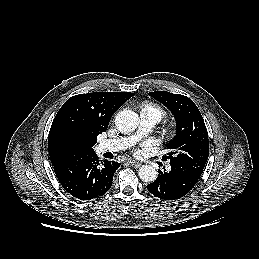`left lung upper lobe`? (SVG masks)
Instances as JSON below:
<instances>
[{
    "instance_id": "5c2ea615",
    "label": "left lung upper lobe",
    "mask_w": 259,
    "mask_h": 259,
    "mask_svg": "<svg viewBox=\"0 0 259 259\" xmlns=\"http://www.w3.org/2000/svg\"><path fill=\"white\" fill-rule=\"evenodd\" d=\"M164 104L175 116L176 136L169 142L170 153L162 159L184 167L196 177H200L209 155L208 132L203 117L188 97L165 91L148 93Z\"/></svg>"
}]
</instances>
